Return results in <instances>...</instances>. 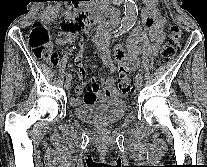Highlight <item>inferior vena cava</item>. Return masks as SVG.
<instances>
[{"mask_svg": "<svg viewBox=\"0 0 207 167\" xmlns=\"http://www.w3.org/2000/svg\"><path fill=\"white\" fill-rule=\"evenodd\" d=\"M108 1L109 0H99V9L100 10H102V11H104V10H106L107 8H108Z\"/></svg>", "mask_w": 207, "mask_h": 167, "instance_id": "inferior-vena-cava-1", "label": "inferior vena cava"}]
</instances>
